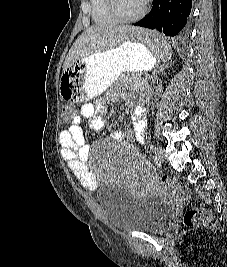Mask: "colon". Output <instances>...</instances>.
I'll return each mask as SVG.
<instances>
[{"instance_id": "1", "label": "colon", "mask_w": 227, "mask_h": 267, "mask_svg": "<svg viewBox=\"0 0 227 267\" xmlns=\"http://www.w3.org/2000/svg\"><path fill=\"white\" fill-rule=\"evenodd\" d=\"M76 105H65L62 111V119H75ZM63 125H70V120H63ZM160 186L167 192L177 194L182 200L187 199L188 194L181 182L169 175H163L160 180ZM212 214L202 208H192L186 211L183 222L187 228H204L210 225Z\"/></svg>"}]
</instances>
